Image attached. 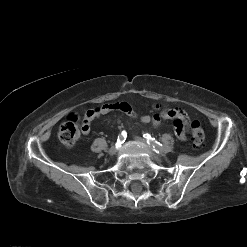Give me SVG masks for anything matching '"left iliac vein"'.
<instances>
[{
    "label": "left iliac vein",
    "instance_id": "obj_1",
    "mask_svg": "<svg viewBox=\"0 0 247 247\" xmlns=\"http://www.w3.org/2000/svg\"><path fill=\"white\" fill-rule=\"evenodd\" d=\"M135 140L138 141L139 143H141L142 145H144V147L146 148L147 152L149 153V155L151 156V158L153 160H155L157 162H161L162 161V157L160 155L156 154L154 152V150L149 145H147L145 139H143L142 137L136 136Z\"/></svg>",
    "mask_w": 247,
    "mask_h": 247
}]
</instances>
